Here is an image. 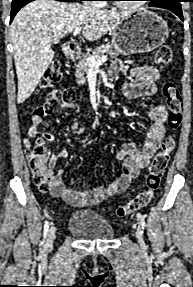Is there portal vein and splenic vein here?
Returning <instances> with one entry per match:
<instances>
[{"instance_id":"18ae733b","label":"portal vein and splenic vein","mask_w":193,"mask_h":287,"mask_svg":"<svg viewBox=\"0 0 193 287\" xmlns=\"http://www.w3.org/2000/svg\"><path fill=\"white\" fill-rule=\"evenodd\" d=\"M81 32V28H76L73 32V36L78 35ZM87 63L91 69H98L100 65L107 61V56H102L99 59H94L93 57H87Z\"/></svg>"}]
</instances>
